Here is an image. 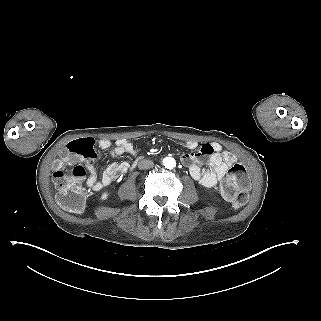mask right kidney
Masks as SVG:
<instances>
[{
	"label": "right kidney",
	"instance_id": "1",
	"mask_svg": "<svg viewBox=\"0 0 321 321\" xmlns=\"http://www.w3.org/2000/svg\"><path fill=\"white\" fill-rule=\"evenodd\" d=\"M107 196H108V194L104 193V194H102L101 199L105 200V199H107Z\"/></svg>",
	"mask_w": 321,
	"mask_h": 321
}]
</instances>
